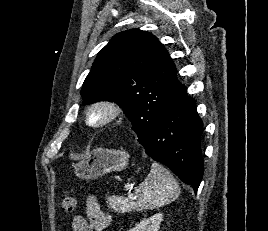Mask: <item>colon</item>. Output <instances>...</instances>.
Listing matches in <instances>:
<instances>
[{"instance_id": "1", "label": "colon", "mask_w": 268, "mask_h": 231, "mask_svg": "<svg viewBox=\"0 0 268 231\" xmlns=\"http://www.w3.org/2000/svg\"><path fill=\"white\" fill-rule=\"evenodd\" d=\"M60 206L64 213H72L77 207V200L74 196L64 194L60 198Z\"/></svg>"}]
</instances>
